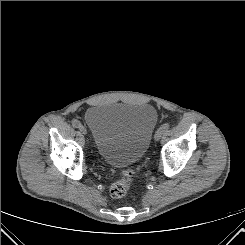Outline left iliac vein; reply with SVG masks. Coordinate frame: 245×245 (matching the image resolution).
I'll return each instance as SVG.
<instances>
[{"label":"left iliac vein","mask_w":245,"mask_h":245,"mask_svg":"<svg viewBox=\"0 0 245 245\" xmlns=\"http://www.w3.org/2000/svg\"><path fill=\"white\" fill-rule=\"evenodd\" d=\"M163 132L164 131L161 130L160 128L156 131L155 136H154V138H155L156 141H159L160 140V138L162 137Z\"/></svg>","instance_id":"1"}]
</instances>
